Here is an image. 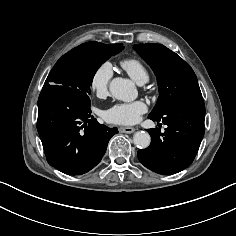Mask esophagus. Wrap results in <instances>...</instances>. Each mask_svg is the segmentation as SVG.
<instances>
[{"label": "esophagus", "instance_id": "1", "mask_svg": "<svg viewBox=\"0 0 236 236\" xmlns=\"http://www.w3.org/2000/svg\"><path fill=\"white\" fill-rule=\"evenodd\" d=\"M135 131V128L133 127H120L119 128V132L121 133H128V134H131Z\"/></svg>", "mask_w": 236, "mask_h": 236}]
</instances>
